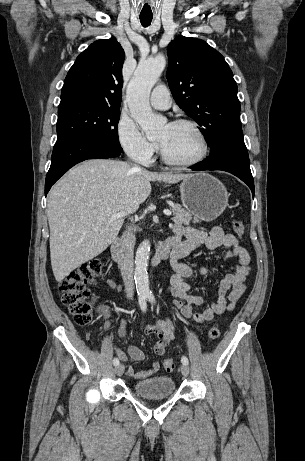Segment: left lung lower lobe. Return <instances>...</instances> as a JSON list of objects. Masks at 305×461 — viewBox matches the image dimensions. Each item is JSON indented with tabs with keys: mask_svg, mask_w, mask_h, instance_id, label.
<instances>
[{
	"mask_svg": "<svg viewBox=\"0 0 305 461\" xmlns=\"http://www.w3.org/2000/svg\"><path fill=\"white\" fill-rule=\"evenodd\" d=\"M190 168L195 171L223 170L232 173L249 186L254 196V181L241 128L224 133L216 154Z\"/></svg>",
	"mask_w": 305,
	"mask_h": 461,
	"instance_id": "0a47b994",
	"label": "left lung lower lobe"
}]
</instances>
